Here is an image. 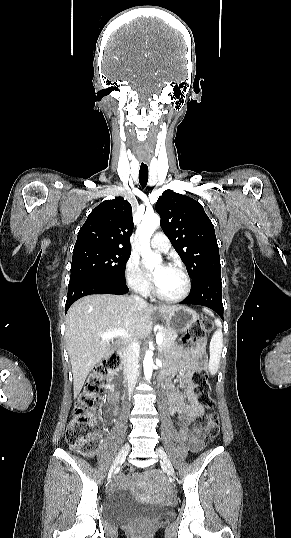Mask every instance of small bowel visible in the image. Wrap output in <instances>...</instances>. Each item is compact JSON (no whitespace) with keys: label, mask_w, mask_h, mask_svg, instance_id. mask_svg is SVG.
<instances>
[{"label":"small bowel","mask_w":291,"mask_h":538,"mask_svg":"<svg viewBox=\"0 0 291 538\" xmlns=\"http://www.w3.org/2000/svg\"><path fill=\"white\" fill-rule=\"evenodd\" d=\"M195 356L189 353L179 355L171 368V374L178 373L186 390L180 395L171 384H166L165 389L169 399V411L178 417L179 434L191 452H198L203 447L204 434L197 427H190V419L203 413V406L197 401L196 392L191 375L195 365ZM107 417L111 418L119 413L117 397L112 390L107 396Z\"/></svg>","instance_id":"c3829d8e"}]
</instances>
